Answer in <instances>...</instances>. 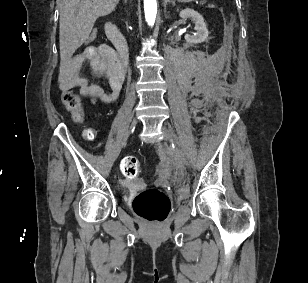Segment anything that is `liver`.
<instances>
[{
    "mask_svg": "<svg viewBox=\"0 0 308 283\" xmlns=\"http://www.w3.org/2000/svg\"><path fill=\"white\" fill-rule=\"evenodd\" d=\"M119 0H59L60 58L64 63L88 39L98 17L115 10Z\"/></svg>",
    "mask_w": 308,
    "mask_h": 283,
    "instance_id": "1",
    "label": "liver"
}]
</instances>
